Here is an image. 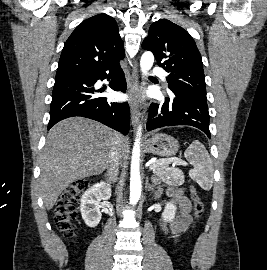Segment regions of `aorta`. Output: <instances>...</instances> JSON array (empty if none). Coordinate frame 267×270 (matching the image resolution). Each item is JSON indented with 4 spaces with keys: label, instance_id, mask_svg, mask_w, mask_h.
I'll use <instances>...</instances> for the list:
<instances>
[{
    "label": "aorta",
    "instance_id": "obj_1",
    "mask_svg": "<svg viewBox=\"0 0 267 270\" xmlns=\"http://www.w3.org/2000/svg\"><path fill=\"white\" fill-rule=\"evenodd\" d=\"M154 56L150 51L143 53L140 60L141 72L144 76L152 68ZM142 127L139 126L135 143L132 151L131 172H130V204L136 205L140 199L142 185L140 178V139L142 135Z\"/></svg>",
    "mask_w": 267,
    "mask_h": 270
}]
</instances>
